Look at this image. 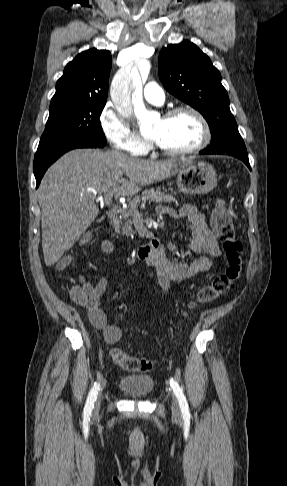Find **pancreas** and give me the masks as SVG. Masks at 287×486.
Masks as SVG:
<instances>
[{"label":"pancreas","instance_id":"cf45deb5","mask_svg":"<svg viewBox=\"0 0 287 486\" xmlns=\"http://www.w3.org/2000/svg\"><path fill=\"white\" fill-rule=\"evenodd\" d=\"M147 201L170 203L176 201V199L172 195L161 192L159 189L144 190L141 195L136 196L130 201L128 208L120 210L121 218L118 222L113 224L115 230L120 233L121 229L122 234L133 237L134 231L132 229V219L134 214L138 211V208L145 205Z\"/></svg>","mask_w":287,"mask_h":486}]
</instances>
